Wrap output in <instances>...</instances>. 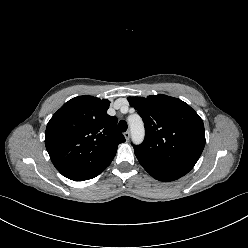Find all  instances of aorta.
<instances>
[{"instance_id":"obj_1","label":"aorta","mask_w":248,"mask_h":248,"mask_svg":"<svg viewBox=\"0 0 248 248\" xmlns=\"http://www.w3.org/2000/svg\"><path fill=\"white\" fill-rule=\"evenodd\" d=\"M132 140L134 143H141L144 138V126L139 116H133L129 119Z\"/></svg>"}]
</instances>
